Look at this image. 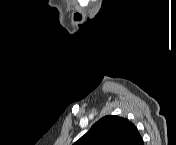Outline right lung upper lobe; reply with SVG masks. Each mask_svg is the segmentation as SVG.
<instances>
[{
    "label": "right lung upper lobe",
    "instance_id": "right-lung-upper-lobe-1",
    "mask_svg": "<svg viewBox=\"0 0 176 145\" xmlns=\"http://www.w3.org/2000/svg\"><path fill=\"white\" fill-rule=\"evenodd\" d=\"M74 145H144L134 124L118 116H105Z\"/></svg>",
    "mask_w": 176,
    "mask_h": 145
}]
</instances>
